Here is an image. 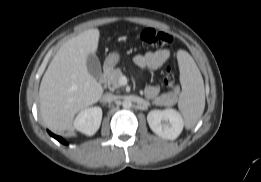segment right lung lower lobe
I'll return each mask as SVG.
<instances>
[{
	"instance_id": "obj_1",
	"label": "right lung lower lobe",
	"mask_w": 261,
	"mask_h": 182,
	"mask_svg": "<svg viewBox=\"0 0 261 182\" xmlns=\"http://www.w3.org/2000/svg\"><path fill=\"white\" fill-rule=\"evenodd\" d=\"M48 132H49V134H50L52 137H54L56 140H58V141L61 142L62 144H65V145L68 144V143H67L66 141H64L61 137L54 135V134L51 133L50 131H48Z\"/></svg>"
}]
</instances>
